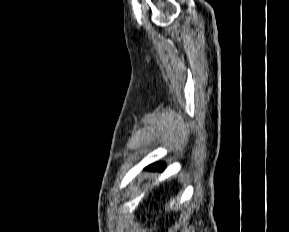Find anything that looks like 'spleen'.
<instances>
[{
	"instance_id": "3e777b00",
	"label": "spleen",
	"mask_w": 289,
	"mask_h": 232,
	"mask_svg": "<svg viewBox=\"0 0 289 232\" xmlns=\"http://www.w3.org/2000/svg\"><path fill=\"white\" fill-rule=\"evenodd\" d=\"M176 204V200L170 201V207L173 208V205ZM167 206V205H166Z\"/></svg>"
}]
</instances>
